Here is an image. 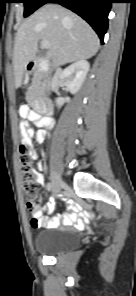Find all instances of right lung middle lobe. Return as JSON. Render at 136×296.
Here are the masks:
<instances>
[{
  "label": "right lung middle lobe",
  "mask_w": 136,
  "mask_h": 296,
  "mask_svg": "<svg viewBox=\"0 0 136 296\" xmlns=\"http://www.w3.org/2000/svg\"><path fill=\"white\" fill-rule=\"evenodd\" d=\"M46 0H19L18 2L24 3L25 10L24 16L27 17L32 14L35 10L45 4Z\"/></svg>",
  "instance_id": "obj_1"
}]
</instances>
